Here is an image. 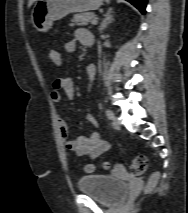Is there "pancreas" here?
Returning <instances> with one entry per match:
<instances>
[{
    "instance_id": "obj_1",
    "label": "pancreas",
    "mask_w": 188,
    "mask_h": 213,
    "mask_svg": "<svg viewBox=\"0 0 188 213\" xmlns=\"http://www.w3.org/2000/svg\"><path fill=\"white\" fill-rule=\"evenodd\" d=\"M94 18L95 14L92 12L75 14L71 20L70 26H86Z\"/></svg>"
}]
</instances>
